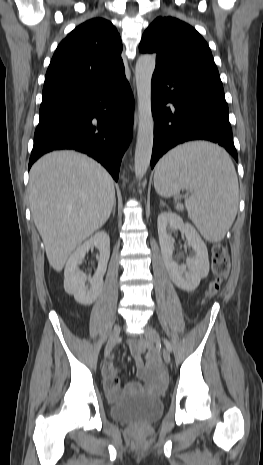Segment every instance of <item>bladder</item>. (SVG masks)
<instances>
[{
  "label": "bladder",
  "mask_w": 263,
  "mask_h": 465,
  "mask_svg": "<svg viewBox=\"0 0 263 465\" xmlns=\"http://www.w3.org/2000/svg\"><path fill=\"white\" fill-rule=\"evenodd\" d=\"M163 401L151 394H135L115 402L110 409L115 420L129 423H151L163 412Z\"/></svg>",
  "instance_id": "bladder-1"
}]
</instances>
